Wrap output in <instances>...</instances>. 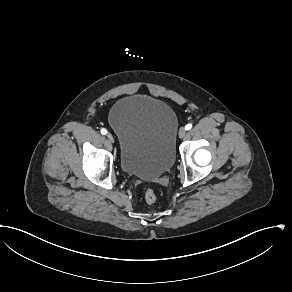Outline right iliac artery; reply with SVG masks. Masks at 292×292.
Returning a JSON list of instances; mask_svg holds the SVG:
<instances>
[{"instance_id":"obj_1","label":"right iliac artery","mask_w":292,"mask_h":292,"mask_svg":"<svg viewBox=\"0 0 292 292\" xmlns=\"http://www.w3.org/2000/svg\"><path fill=\"white\" fill-rule=\"evenodd\" d=\"M107 133V130L105 128L101 129V134L105 135Z\"/></svg>"}]
</instances>
